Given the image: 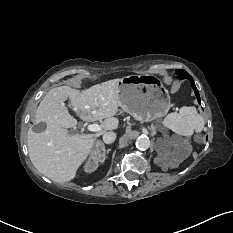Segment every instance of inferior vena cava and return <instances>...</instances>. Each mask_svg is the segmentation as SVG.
Listing matches in <instances>:
<instances>
[{
    "mask_svg": "<svg viewBox=\"0 0 233 233\" xmlns=\"http://www.w3.org/2000/svg\"><path fill=\"white\" fill-rule=\"evenodd\" d=\"M116 139V133L110 131V132H106L104 133L103 135V141L106 143V144H111L112 142H114Z\"/></svg>",
    "mask_w": 233,
    "mask_h": 233,
    "instance_id": "1",
    "label": "inferior vena cava"
}]
</instances>
